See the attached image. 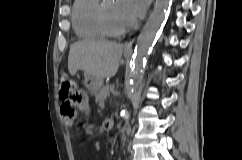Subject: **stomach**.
<instances>
[{"label": "stomach", "mask_w": 242, "mask_h": 160, "mask_svg": "<svg viewBox=\"0 0 242 160\" xmlns=\"http://www.w3.org/2000/svg\"><path fill=\"white\" fill-rule=\"evenodd\" d=\"M84 83L86 85V88L92 95L97 94L101 90L102 85H103L102 80H100L94 76H91V75L85 76Z\"/></svg>", "instance_id": "obj_1"}]
</instances>
